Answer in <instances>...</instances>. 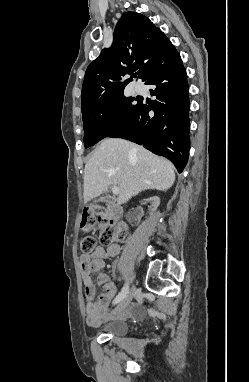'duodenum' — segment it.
I'll return each instance as SVG.
<instances>
[{"mask_svg":"<svg viewBox=\"0 0 249 382\" xmlns=\"http://www.w3.org/2000/svg\"><path fill=\"white\" fill-rule=\"evenodd\" d=\"M109 214L114 218L121 217L122 211L121 208L115 202H110L108 205Z\"/></svg>","mask_w":249,"mask_h":382,"instance_id":"1","label":"duodenum"}]
</instances>
